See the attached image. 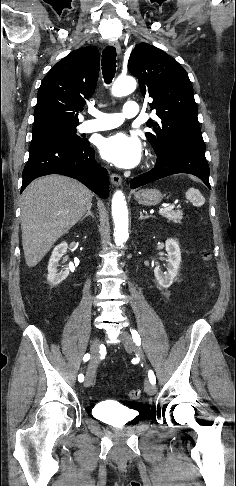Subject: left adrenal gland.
I'll return each instance as SVG.
<instances>
[{"instance_id": "obj_1", "label": "left adrenal gland", "mask_w": 236, "mask_h": 486, "mask_svg": "<svg viewBox=\"0 0 236 486\" xmlns=\"http://www.w3.org/2000/svg\"><path fill=\"white\" fill-rule=\"evenodd\" d=\"M149 217V215H143L142 211H140V217H139V220H143V219H147Z\"/></svg>"}]
</instances>
